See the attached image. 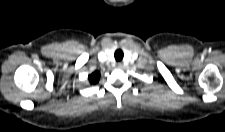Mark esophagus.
Returning <instances> with one entry per match:
<instances>
[{
    "label": "esophagus",
    "instance_id": "1",
    "mask_svg": "<svg viewBox=\"0 0 225 132\" xmlns=\"http://www.w3.org/2000/svg\"><path fill=\"white\" fill-rule=\"evenodd\" d=\"M122 66H123V65H122L121 62L117 63V67H118V68H122Z\"/></svg>",
    "mask_w": 225,
    "mask_h": 132
}]
</instances>
